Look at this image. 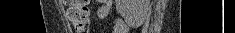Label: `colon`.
Wrapping results in <instances>:
<instances>
[{
    "label": "colon",
    "instance_id": "colon-1",
    "mask_svg": "<svg viewBox=\"0 0 235 33\" xmlns=\"http://www.w3.org/2000/svg\"><path fill=\"white\" fill-rule=\"evenodd\" d=\"M67 17L76 32L87 33L90 25V13L86 0H66Z\"/></svg>",
    "mask_w": 235,
    "mask_h": 33
}]
</instances>
